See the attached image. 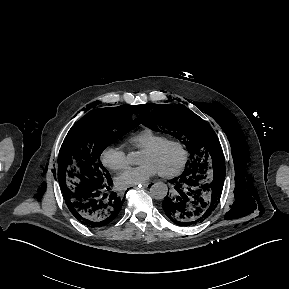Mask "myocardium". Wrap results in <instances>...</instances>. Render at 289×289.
Here are the masks:
<instances>
[{"label":"myocardium","mask_w":289,"mask_h":289,"mask_svg":"<svg viewBox=\"0 0 289 289\" xmlns=\"http://www.w3.org/2000/svg\"><path fill=\"white\" fill-rule=\"evenodd\" d=\"M169 145L177 146L182 153V158H181L179 165L175 169L168 171V172H160L159 173L162 177H166V178L178 176L185 169L187 162L189 160V151L187 149V146L182 141H180L178 139L166 138V139L162 140L161 142H159L153 146H150V147L143 149V151L148 152V153H158L163 148H165Z\"/></svg>","instance_id":"f54148a6"}]
</instances>
